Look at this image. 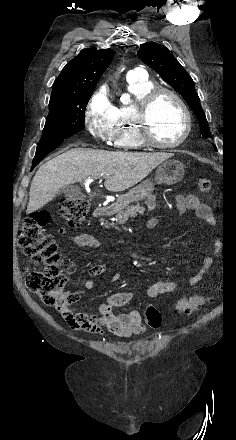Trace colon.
<instances>
[{
    "mask_svg": "<svg viewBox=\"0 0 236 440\" xmlns=\"http://www.w3.org/2000/svg\"><path fill=\"white\" fill-rule=\"evenodd\" d=\"M198 187L202 193L209 192L212 188L211 180L200 178ZM89 208L87 196L68 197L60 204L59 215L69 227L74 228L82 224ZM50 221L49 213L36 212L24 220L20 229L19 246L33 264L42 265L41 268L27 272V287L45 304L56 308L68 325L70 321H88L75 319L70 312V300L64 292L67 276L62 267L61 254L53 235L45 229ZM206 302L207 299L201 295L182 298L177 302L175 312L188 316L201 310ZM144 321L149 327L158 328L162 323V316L150 305L145 309Z\"/></svg>",
    "mask_w": 236,
    "mask_h": 440,
    "instance_id": "obj_1",
    "label": "colon"
}]
</instances>
